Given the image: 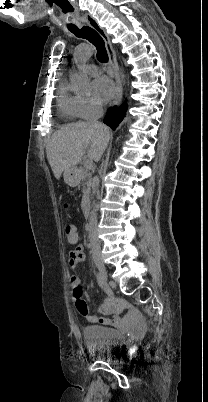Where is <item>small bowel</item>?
<instances>
[{"mask_svg":"<svg viewBox=\"0 0 208 402\" xmlns=\"http://www.w3.org/2000/svg\"><path fill=\"white\" fill-rule=\"evenodd\" d=\"M84 253L82 252L81 247H77L74 252L70 253V258L68 260V263L71 264L72 266H75L78 262H80L84 258ZM72 290L71 294L73 298L75 296H80L83 298L85 296L82 288L80 287V280L78 276L73 275L71 276L70 279ZM112 298H115V295H112ZM123 307V302L122 300L117 299L116 301L113 300H108L105 304V306L102 308L103 312L106 313H111L113 317L109 319V316H89V313L87 314L86 318L89 319L90 321H96L97 323L105 324L107 325L108 323L111 324H120V327L124 330H136L139 327V323L143 321V318L141 317L142 312L139 309H131L129 311V315H125V312L121 310ZM122 317V318H120Z\"/></svg>","mask_w":208,"mask_h":402,"instance_id":"1","label":"small bowel"}]
</instances>
